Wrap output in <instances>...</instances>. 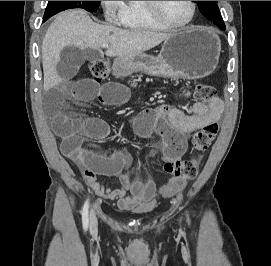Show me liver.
<instances>
[{
    "label": "liver",
    "mask_w": 271,
    "mask_h": 266,
    "mask_svg": "<svg viewBox=\"0 0 271 266\" xmlns=\"http://www.w3.org/2000/svg\"><path fill=\"white\" fill-rule=\"evenodd\" d=\"M172 34L127 30L110 25L94 23L84 10L73 9L60 13L48 28L42 43V65L45 91L62 82L56 62L66 46L80 50H99L103 44L110 45L105 54L109 57H124L150 50Z\"/></svg>",
    "instance_id": "obj_1"
}]
</instances>
